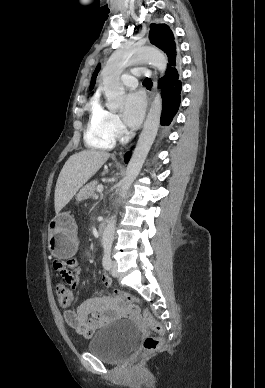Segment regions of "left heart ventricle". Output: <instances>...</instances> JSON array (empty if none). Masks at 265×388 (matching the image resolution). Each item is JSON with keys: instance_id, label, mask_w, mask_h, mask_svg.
Segmentation results:
<instances>
[{"instance_id": "1", "label": "left heart ventricle", "mask_w": 265, "mask_h": 388, "mask_svg": "<svg viewBox=\"0 0 265 388\" xmlns=\"http://www.w3.org/2000/svg\"><path fill=\"white\" fill-rule=\"evenodd\" d=\"M122 87H123L125 92H128L133 88V86H123V85H122Z\"/></svg>"}]
</instances>
